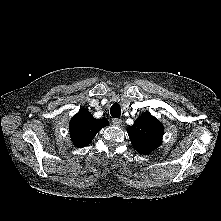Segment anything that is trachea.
Here are the masks:
<instances>
[{
	"label": "trachea",
	"instance_id": "3493384b",
	"mask_svg": "<svg viewBox=\"0 0 221 221\" xmlns=\"http://www.w3.org/2000/svg\"><path fill=\"white\" fill-rule=\"evenodd\" d=\"M110 114L113 118H118L121 115V107L118 103H115L111 106Z\"/></svg>",
	"mask_w": 221,
	"mask_h": 221
}]
</instances>
